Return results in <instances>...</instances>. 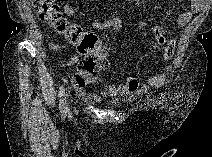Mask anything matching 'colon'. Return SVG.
Masks as SVG:
<instances>
[{"label":"colon","mask_w":212,"mask_h":157,"mask_svg":"<svg viewBox=\"0 0 212 157\" xmlns=\"http://www.w3.org/2000/svg\"><path fill=\"white\" fill-rule=\"evenodd\" d=\"M34 9L39 17L47 22L56 32L69 42L77 44L84 58L79 62L73 77L74 86L83 88L93 82L109 64L107 47L93 33H86L81 26L67 21L60 11L59 5L51 0H35ZM160 42V40H158ZM148 47L147 44L143 49Z\"/></svg>","instance_id":"1"}]
</instances>
